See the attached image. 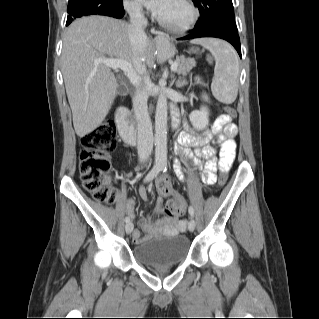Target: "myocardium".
<instances>
[{
  "mask_svg": "<svg viewBox=\"0 0 319 319\" xmlns=\"http://www.w3.org/2000/svg\"><path fill=\"white\" fill-rule=\"evenodd\" d=\"M181 2L188 9V17L185 20L177 23L169 22L160 17H157L156 21L161 27L172 32L182 33L187 31L194 25L199 16L198 8L194 5V3L191 0H181Z\"/></svg>",
  "mask_w": 319,
  "mask_h": 319,
  "instance_id": "myocardium-1",
  "label": "myocardium"
}]
</instances>
